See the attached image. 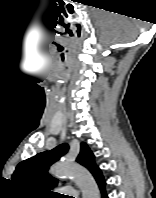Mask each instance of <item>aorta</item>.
I'll use <instances>...</instances> for the list:
<instances>
[{"instance_id":"aorta-1","label":"aorta","mask_w":156,"mask_h":198,"mask_svg":"<svg viewBox=\"0 0 156 198\" xmlns=\"http://www.w3.org/2000/svg\"><path fill=\"white\" fill-rule=\"evenodd\" d=\"M54 176H68L73 179L82 192V198H100L98 185L91 173L76 164L57 163L50 168Z\"/></svg>"}]
</instances>
